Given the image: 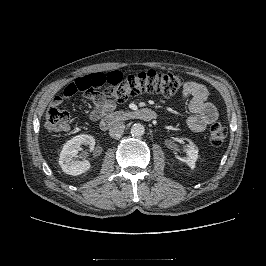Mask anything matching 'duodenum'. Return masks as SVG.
<instances>
[{"mask_svg":"<svg viewBox=\"0 0 266 266\" xmlns=\"http://www.w3.org/2000/svg\"><path fill=\"white\" fill-rule=\"evenodd\" d=\"M94 114V113H93ZM157 117L155 111L148 108L136 110L134 112H116L107 116H104L99 123L101 130L106 131L119 122L127 119L136 118L144 121H151ZM101 117L97 118L100 119Z\"/></svg>","mask_w":266,"mask_h":266,"instance_id":"obj_1","label":"duodenum"}]
</instances>
